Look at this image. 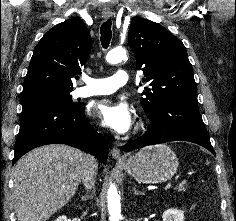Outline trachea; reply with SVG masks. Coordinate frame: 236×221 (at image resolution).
<instances>
[{
    "label": "trachea",
    "mask_w": 236,
    "mask_h": 221,
    "mask_svg": "<svg viewBox=\"0 0 236 221\" xmlns=\"http://www.w3.org/2000/svg\"><path fill=\"white\" fill-rule=\"evenodd\" d=\"M111 19L105 21L100 28L101 33V44L104 48H107L111 41L112 31H111Z\"/></svg>",
    "instance_id": "1"
}]
</instances>
